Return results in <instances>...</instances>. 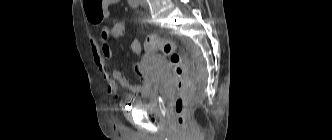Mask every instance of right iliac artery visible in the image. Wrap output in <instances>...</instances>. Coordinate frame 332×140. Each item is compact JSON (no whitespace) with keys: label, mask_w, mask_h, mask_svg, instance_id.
Masks as SVG:
<instances>
[{"label":"right iliac artery","mask_w":332,"mask_h":140,"mask_svg":"<svg viewBox=\"0 0 332 140\" xmlns=\"http://www.w3.org/2000/svg\"><path fill=\"white\" fill-rule=\"evenodd\" d=\"M128 3L132 8H137L139 5V0H128Z\"/></svg>","instance_id":"82829eb1"}]
</instances>
